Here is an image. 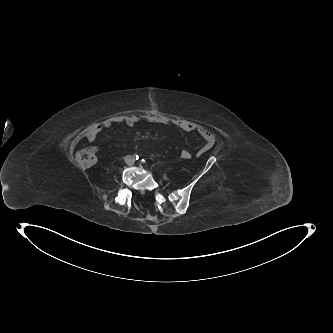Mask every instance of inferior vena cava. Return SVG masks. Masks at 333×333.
Here are the masks:
<instances>
[{
	"label": "inferior vena cava",
	"instance_id": "602c4592",
	"mask_svg": "<svg viewBox=\"0 0 333 333\" xmlns=\"http://www.w3.org/2000/svg\"><path fill=\"white\" fill-rule=\"evenodd\" d=\"M124 161H125V163H126L127 165L131 166V165L134 164L135 159H134L133 156H131V155H127V156L124 157Z\"/></svg>",
	"mask_w": 333,
	"mask_h": 333
}]
</instances>
